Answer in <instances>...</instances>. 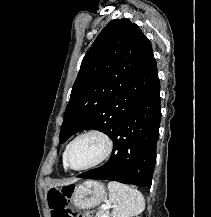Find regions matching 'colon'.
<instances>
[{"instance_id":"obj_1","label":"colon","mask_w":211,"mask_h":217,"mask_svg":"<svg viewBox=\"0 0 211 217\" xmlns=\"http://www.w3.org/2000/svg\"><path fill=\"white\" fill-rule=\"evenodd\" d=\"M74 191L73 186L61 189H51L48 193V205L52 217H72L69 208V198ZM79 217H93L92 213L86 212Z\"/></svg>"}]
</instances>
